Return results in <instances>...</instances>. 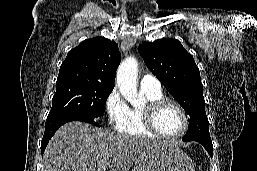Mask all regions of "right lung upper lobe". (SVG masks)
<instances>
[{
  "instance_id": "right-lung-upper-lobe-1",
  "label": "right lung upper lobe",
  "mask_w": 257,
  "mask_h": 171,
  "mask_svg": "<svg viewBox=\"0 0 257 171\" xmlns=\"http://www.w3.org/2000/svg\"><path fill=\"white\" fill-rule=\"evenodd\" d=\"M120 61L121 54L114 41L104 37L86 39L68 52L56 86L88 84L114 88Z\"/></svg>"
}]
</instances>
